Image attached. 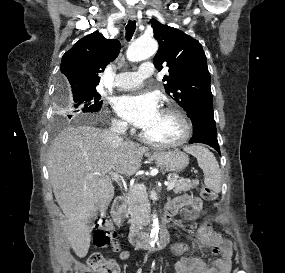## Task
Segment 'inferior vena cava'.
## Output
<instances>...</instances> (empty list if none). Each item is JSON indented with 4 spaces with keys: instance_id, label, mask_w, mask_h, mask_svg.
I'll return each mask as SVG.
<instances>
[{
    "instance_id": "obj_1",
    "label": "inferior vena cava",
    "mask_w": 285,
    "mask_h": 273,
    "mask_svg": "<svg viewBox=\"0 0 285 273\" xmlns=\"http://www.w3.org/2000/svg\"><path fill=\"white\" fill-rule=\"evenodd\" d=\"M126 130V122L114 120L111 128L107 131V134L110 136L113 142L120 144L123 142L122 136L125 134Z\"/></svg>"
}]
</instances>
